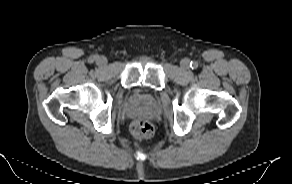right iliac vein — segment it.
Segmentation results:
<instances>
[{"label": "right iliac vein", "instance_id": "63e3f726", "mask_svg": "<svg viewBox=\"0 0 292 184\" xmlns=\"http://www.w3.org/2000/svg\"><path fill=\"white\" fill-rule=\"evenodd\" d=\"M96 62H97V64H98L99 66H103V65H106L107 60H106L105 57H98V58L96 59Z\"/></svg>", "mask_w": 292, "mask_h": 184}]
</instances>
